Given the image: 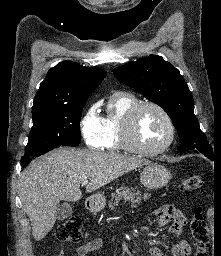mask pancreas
I'll return each instance as SVG.
<instances>
[{
  "label": "pancreas",
  "instance_id": "obj_1",
  "mask_svg": "<svg viewBox=\"0 0 221 256\" xmlns=\"http://www.w3.org/2000/svg\"><path fill=\"white\" fill-rule=\"evenodd\" d=\"M148 197V193L142 195L140 191H135L134 189H129L127 187H121L112 194L111 201L114 200V202H110L109 208L113 209L114 206L118 205L120 200L131 202V204H139L142 200H147Z\"/></svg>",
  "mask_w": 221,
  "mask_h": 256
}]
</instances>
